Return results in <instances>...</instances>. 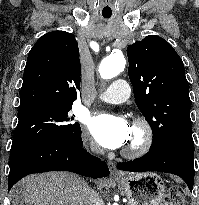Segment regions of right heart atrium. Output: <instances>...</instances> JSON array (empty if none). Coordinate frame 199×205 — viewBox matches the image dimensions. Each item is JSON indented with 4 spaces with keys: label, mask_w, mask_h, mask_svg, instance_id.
I'll list each match as a JSON object with an SVG mask.
<instances>
[{
    "label": "right heart atrium",
    "mask_w": 199,
    "mask_h": 205,
    "mask_svg": "<svg viewBox=\"0 0 199 205\" xmlns=\"http://www.w3.org/2000/svg\"><path fill=\"white\" fill-rule=\"evenodd\" d=\"M91 151L97 153L99 151L98 147L95 144H91Z\"/></svg>",
    "instance_id": "d8ad5b80"
}]
</instances>
